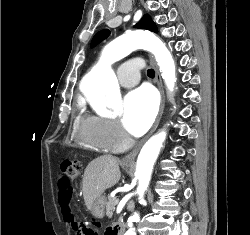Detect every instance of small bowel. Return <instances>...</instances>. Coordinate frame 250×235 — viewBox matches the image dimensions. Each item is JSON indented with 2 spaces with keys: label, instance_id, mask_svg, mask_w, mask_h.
<instances>
[{
  "label": "small bowel",
  "instance_id": "1",
  "mask_svg": "<svg viewBox=\"0 0 250 235\" xmlns=\"http://www.w3.org/2000/svg\"><path fill=\"white\" fill-rule=\"evenodd\" d=\"M71 196H72L71 191H66L61 189H59L58 191L57 202L64 218L67 214H69Z\"/></svg>",
  "mask_w": 250,
  "mask_h": 235
}]
</instances>
